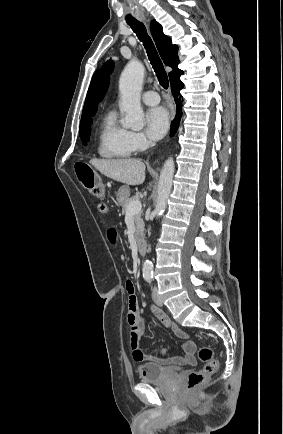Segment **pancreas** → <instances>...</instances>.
<instances>
[{"instance_id":"obj_1","label":"pancreas","mask_w":283,"mask_h":434,"mask_svg":"<svg viewBox=\"0 0 283 434\" xmlns=\"http://www.w3.org/2000/svg\"><path fill=\"white\" fill-rule=\"evenodd\" d=\"M139 200L138 196H133L131 198H129L125 204L122 205V213L126 214L127 213V208L129 203L133 202V201H137ZM142 213H136L133 216L134 222H135V237L139 238L140 236L143 235V231H144V224H143V220L141 218Z\"/></svg>"}]
</instances>
